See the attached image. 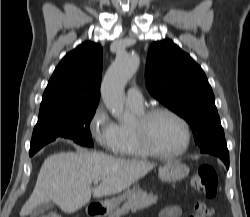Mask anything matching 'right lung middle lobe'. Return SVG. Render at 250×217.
Wrapping results in <instances>:
<instances>
[{"label": "right lung middle lobe", "mask_w": 250, "mask_h": 217, "mask_svg": "<svg viewBox=\"0 0 250 217\" xmlns=\"http://www.w3.org/2000/svg\"><path fill=\"white\" fill-rule=\"evenodd\" d=\"M97 106L63 109L39 115L32 134L29 155L56 138L73 139L83 146H93L89 124Z\"/></svg>", "instance_id": "dd1d6c3e"}]
</instances>
